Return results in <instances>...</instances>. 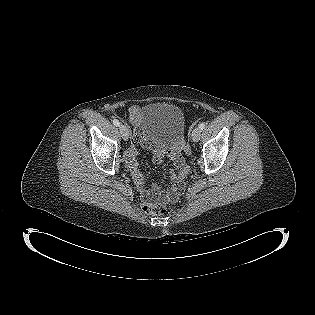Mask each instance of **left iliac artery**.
<instances>
[{"instance_id": "obj_1", "label": "left iliac artery", "mask_w": 315, "mask_h": 315, "mask_svg": "<svg viewBox=\"0 0 315 315\" xmlns=\"http://www.w3.org/2000/svg\"><path fill=\"white\" fill-rule=\"evenodd\" d=\"M206 124L204 122L200 123L199 128L203 130L205 128Z\"/></svg>"}]
</instances>
